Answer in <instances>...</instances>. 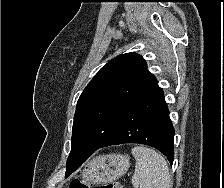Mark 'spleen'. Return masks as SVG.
<instances>
[{"label": "spleen", "mask_w": 224, "mask_h": 188, "mask_svg": "<svg viewBox=\"0 0 224 188\" xmlns=\"http://www.w3.org/2000/svg\"><path fill=\"white\" fill-rule=\"evenodd\" d=\"M132 154L136 159L134 188H171V175L163 156L142 145L132 148Z\"/></svg>", "instance_id": "3e777b00"}]
</instances>
